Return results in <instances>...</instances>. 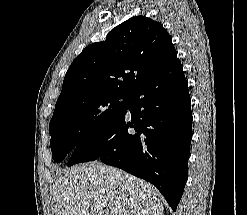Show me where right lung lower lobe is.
Segmentation results:
<instances>
[{"instance_id":"1","label":"right lung lower lobe","mask_w":247,"mask_h":215,"mask_svg":"<svg viewBox=\"0 0 247 215\" xmlns=\"http://www.w3.org/2000/svg\"><path fill=\"white\" fill-rule=\"evenodd\" d=\"M191 138V99L174 50L129 95L119 117L75 147L67 165L100 159L151 182L176 211L187 181Z\"/></svg>"}]
</instances>
